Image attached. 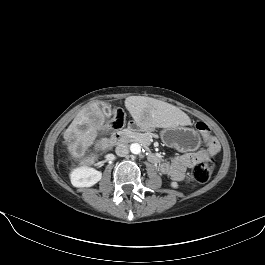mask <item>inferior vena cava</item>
I'll return each instance as SVG.
<instances>
[{
	"label": "inferior vena cava",
	"mask_w": 265,
	"mask_h": 265,
	"mask_svg": "<svg viewBox=\"0 0 265 265\" xmlns=\"http://www.w3.org/2000/svg\"><path fill=\"white\" fill-rule=\"evenodd\" d=\"M115 152L120 157H125L129 153V147L125 143L117 145Z\"/></svg>",
	"instance_id": "602c4592"
}]
</instances>
